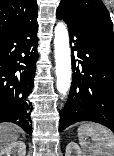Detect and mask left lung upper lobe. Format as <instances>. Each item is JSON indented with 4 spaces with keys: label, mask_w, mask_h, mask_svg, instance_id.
<instances>
[{
    "label": "left lung upper lobe",
    "mask_w": 114,
    "mask_h": 156,
    "mask_svg": "<svg viewBox=\"0 0 114 156\" xmlns=\"http://www.w3.org/2000/svg\"><path fill=\"white\" fill-rule=\"evenodd\" d=\"M58 9L64 10L78 23L88 26L114 41L112 21L101 0H62Z\"/></svg>",
    "instance_id": "left-lung-upper-lobe-1"
}]
</instances>
